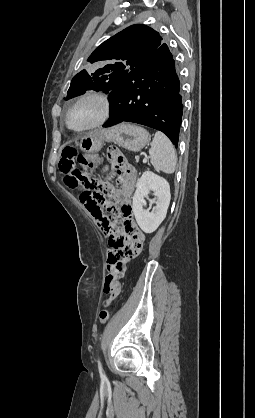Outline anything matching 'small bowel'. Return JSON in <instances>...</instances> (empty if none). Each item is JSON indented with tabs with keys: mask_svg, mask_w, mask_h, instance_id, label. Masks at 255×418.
I'll return each mask as SVG.
<instances>
[{
	"mask_svg": "<svg viewBox=\"0 0 255 418\" xmlns=\"http://www.w3.org/2000/svg\"><path fill=\"white\" fill-rule=\"evenodd\" d=\"M106 158L116 170L119 183V187H107L106 192L120 205L114 213L124 223L133 217L131 197L136 186V171L125 160L122 147H107ZM97 223L110 240L106 242L109 263L103 288V307L110 309L113 301L120 299V280L125 279L129 261H135L136 256L142 254L145 236L142 228L112 227L109 218Z\"/></svg>",
	"mask_w": 255,
	"mask_h": 418,
	"instance_id": "1",
	"label": "small bowel"
}]
</instances>
